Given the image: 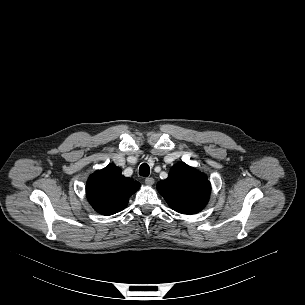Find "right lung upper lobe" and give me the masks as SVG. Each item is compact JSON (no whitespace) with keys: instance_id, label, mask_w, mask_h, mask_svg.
<instances>
[{"instance_id":"right-lung-upper-lobe-1","label":"right lung upper lobe","mask_w":305,"mask_h":305,"mask_svg":"<svg viewBox=\"0 0 305 305\" xmlns=\"http://www.w3.org/2000/svg\"><path fill=\"white\" fill-rule=\"evenodd\" d=\"M121 168L109 164L92 174L86 185V195L95 211L112 215L123 210L129 197L140 188V183L124 177Z\"/></svg>"}]
</instances>
